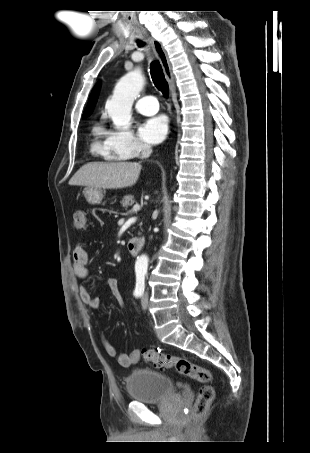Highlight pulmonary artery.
Listing matches in <instances>:
<instances>
[{"label": "pulmonary artery", "instance_id": "e3ab8cb5", "mask_svg": "<svg viewBox=\"0 0 310 453\" xmlns=\"http://www.w3.org/2000/svg\"><path fill=\"white\" fill-rule=\"evenodd\" d=\"M136 110L144 115H153L158 112L159 104L154 96H143L135 103Z\"/></svg>", "mask_w": 310, "mask_h": 453}]
</instances>
